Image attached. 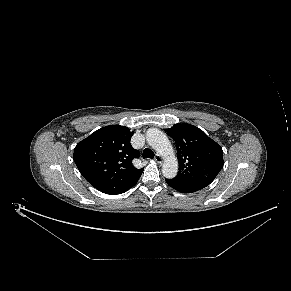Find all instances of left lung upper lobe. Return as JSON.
Masks as SVG:
<instances>
[{
    "instance_id": "5c2ea615",
    "label": "left lung upper lobe",
    "mask_w": 291,
    "mask_h": 291,
    "mask_svg": "<svg viewBox=\"0 0 291 291\" xmlns=\"http://www.w3.org/2000/svg\"><path fill=\"white\" fill-rule=\"evenodd\" d=\"M176 143L179 172L176 181L211 183L223 167V150L201 129L178 123L167 129Z\"/></svg>"
}]
</instances>
